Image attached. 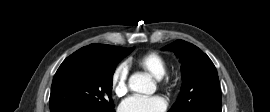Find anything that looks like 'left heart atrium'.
<instances>
[{"label":"left heart atrium","instance_id":"obj_1","mask_svg":"<svg viewBox=\"0 0 270 112\" xmlns=\"http://www.w3.org/2000/svg\"><path fill=\"white\" fill-rule=\"evenodd\" d=\"M167 103L161 96H131L119 105V112H164Z\"/></svg>","mask_w":270,"mask_h":112}]
</instances>
